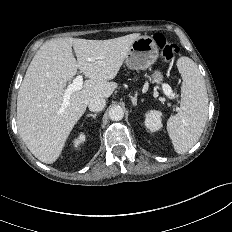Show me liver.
Masks as SVG:
<instances>
[{"mask_svg":"<svg viewBox=\"0 0 232 232\" xmlns=\"http://www.w3.org/2000/svg\"><path fill=\"white\" fill-rule=\"evenodd\" d=\"M139 33L108 39L58 38L45 42L33 57L17 97V126L30 152L41 162L54 163L89 102L108 98L114 79ZM72 47L76 54L75 59ZM88 79L61 110L66 84L77 70Z\"/></svg>","mask_w":232,"mask_h":232,"instance_id":"6515ba94","label":"liver"}]
</instances>
